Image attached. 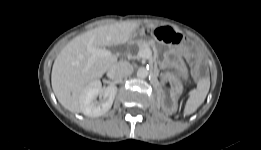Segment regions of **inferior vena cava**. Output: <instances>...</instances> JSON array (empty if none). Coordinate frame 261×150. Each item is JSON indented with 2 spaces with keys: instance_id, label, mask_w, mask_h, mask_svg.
I'll return each instance as SVG.
<instances>
[{
  "instance_id": "inferior-vena-cava-1",
  "label": "inferior vena cava",
  "mask_w": 261,
  "mask_h": 150,
  "mask_svg": "<svg viewBox=\"0 0 261 150\" xmlns=\"http://www.w3.org/2000/svg\"><path fill=\"white\" fill-rule=\"evenodd\" d=\"M132 73L133 66L127 61H120L109 70L111 79H121L130 76Z\"/></svg>"
}]
</instances>
